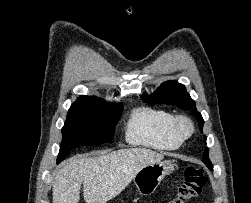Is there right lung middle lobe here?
I'll use <instances>...</instances> for the list:
<instances>
[{"mask_svg":"<svg viewBox=\"0 0 251 203\" xmlns=\"http://www.w3.org/2000/svg\"><path fill=\"white\" fill-rule=\"evenodd\" d=\"M122 109V104L72 105L62 128L57 163L78 146L111 142Z\"/></svg>","mask_w":251,"mask_h":203,"instance_id":"obj_1","label":"right lung middle lobe"}]
</instances>
